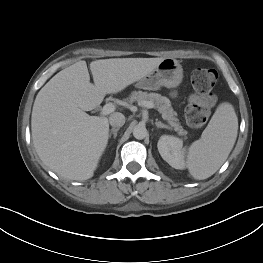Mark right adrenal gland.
<instances>
[{
  "label": "right adrenal gland",
  "mask_w": 263,
  "mask_h": 263,
  "mask_svg": "<svg viewBox=\"0 0 263 263\" xmlns=\"http://www.w3.org/2000/svg\"><path fill=\"white\" fill-rule=\"evenodd\" d=\"M119 131V128H112L111 132L108 134V137L111 138L113 135L114 139L117 137V132Z\"/></svg>",
  "instance_id": "1"
}]
</instances>
